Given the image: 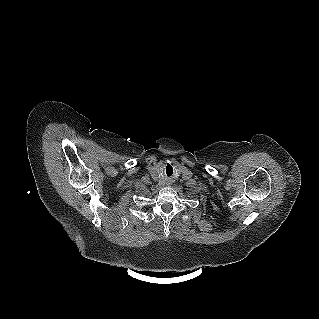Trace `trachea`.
Wrapping results in <instances>:
<instances>
[{
  "label": "trachea",
  "instance_id": "trachea-1",
  "mask_svg": "<svg viewBox=\"0 0 319 319\" xmlns=\"http://www.w3.org/2000/svg\"><path fill=\"white\" fill-rule=\"evenodd\" d=\"M165 174H166L168 177H170V176L173 175V167H172L170 164H168V165L166 166Z\"/></svg>",
  "mask_w": 319,
  "mask_h": 319
}]
</instances>
